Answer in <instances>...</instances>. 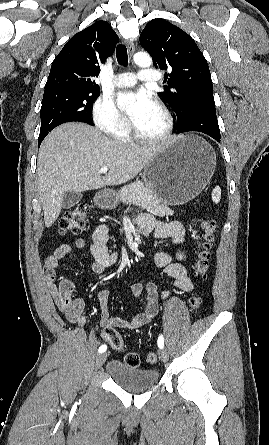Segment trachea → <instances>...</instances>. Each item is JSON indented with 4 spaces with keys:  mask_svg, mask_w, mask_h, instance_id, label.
I'll return each instance as SVG.
<instances>
[{
    "mask_svg": "<svg viewBox=\"0 0 269 445\" xmlns=\"http://www.w3.org/2000/svg\"><path fill=\"white\" fill-rule=\"evenodd\" d=\"M116 57L117 61L122 66L128 65V55H127V48L123 44H119L116 48Z\"/></svg>",
    "mask_w": 269,
    "mask_h": 445,
    "instance_id": "3493384b",
    "label": "trachea"
}]
</instances>
